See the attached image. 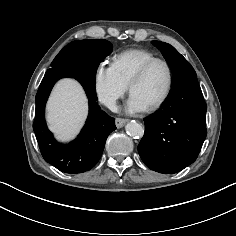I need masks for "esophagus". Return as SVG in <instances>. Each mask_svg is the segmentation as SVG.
<instances>
[{"label": "esophagus", "instance_id": "1", "mask_svg": "<svg viewBox=\"0 0 236 236\" xmlns=\"http://www.w3.org/2000/svg\"><path fill=\"white\" fill-rule=\"evenodd\" d=\"M127 121H128L127 119L116 118V120H115L116 127L117 128H122Z\"/></svg>", "mask_w": 236, "mask_h": 236}]
</instances>
